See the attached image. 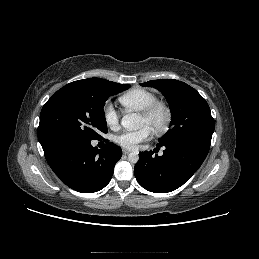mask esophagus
<instances>
[{
    "instance_id": "esophagus-1",
    "label": "esophagus",
    "mask_w": 259,
    "mask_h": 259,
    "mask_svg": "<svg viewBox=\"0 0 259 259\" xmlns=\"http://www.w3.org/2000/svg\"><path fill=\"white\" fill-rule=\"evenodd\" d=\"M130 153V151L129 150H126V149H123V154H129Z\"/></svg>"
}]
</instances>
